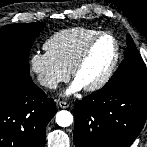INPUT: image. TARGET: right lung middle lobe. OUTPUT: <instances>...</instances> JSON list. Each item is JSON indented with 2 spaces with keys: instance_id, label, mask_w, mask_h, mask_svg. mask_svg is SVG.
<instances>
[{
  "instance_id": "dd1d6c3e",
  "label": "right lung middle lobe",
  "mask_w": 147,
  "mask_h": 147,
  "mask_svg": "<svg viewBox=\"0 0 147 147\" xmlns=\"http://www.w3.org/2000/svg\"><path fill=\"white\" fill-rule=\"evenodd\" d=\"M45 27L43 22L10 24L0 29V65L29 74V52L32 44Z\"/></svg>"
}]
</instances>
